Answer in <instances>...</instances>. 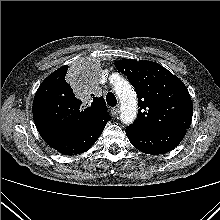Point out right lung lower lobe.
Returning a JSON list of instances; mask_svg holds the SVG:
<instances>
[{
    "label": "right lung lower lobe",
    "mask_w": 220,
    "mask_h": 220,
    "mask_svg": "<svg viewBox=\"0 0 220 220\" xmlns=\"http://www.w3.org/2000/svg\"><path fill=\"white\" fill-rule=\"evenodd\" d=\"M108 121L109 117H101L82 129L42 138L50 147L61 154L74 155L83 153L96 142Z\"/></svg>",
    "instance_id": "right-lung-lower-lobe-1"
}]
</instances>
